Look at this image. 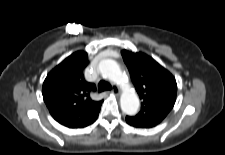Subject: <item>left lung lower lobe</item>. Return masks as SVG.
Segmentation results:
<instances>
[{
  "label": "left lung lower lobe",
  "instance_id": "left-lung-lower-lobe-1",
  "mask_svg": "<svg viewBox=\"0 0 225 155\" xmlns=\"http://www.w3.org/2000/svg\"><path fill=\"white\" fill-rule=\"evenodd\" d=\"M126 122H127L129 125L133 126L132 119H131L129 116L126 117ZM134 127H135V126H134Z\"/></svg>",
  "mask_w": 225,
  "mask_h": 155
}]
</instances>
